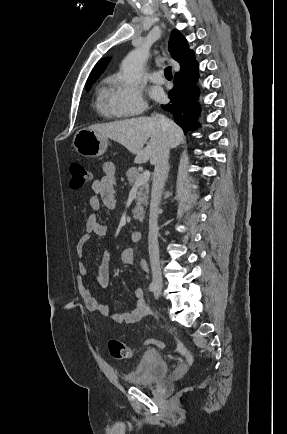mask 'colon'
Instances as JSON below:
<instances>
[{"mask_svg": "<svg viewBox=\"0 0 287 434\" xmlns=\"http://www.w3.org/2000/svg\"><path fill=\"white\" fill-rule=\"evenodd\" d=\"M71 181L70 186L74 189L80 188L89 183L93 179V172L86 166L74 163L70 167ZM145 346L153 348H165V343L158 339H149L145 342ZM110 355L115 359H131L133 350L123 342L117 339H111L108 342Z\"/></svg>", "mask_w": 287, "mask_h": 434, "instance_id": "5ec220e1", "label": "colon"}]
</instances>
